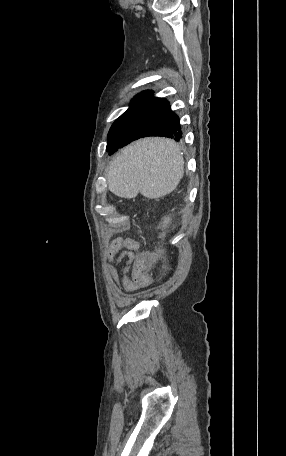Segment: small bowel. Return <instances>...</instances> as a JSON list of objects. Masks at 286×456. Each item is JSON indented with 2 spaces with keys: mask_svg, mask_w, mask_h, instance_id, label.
Instances as JSON below:
<instances>
[{
  "mask_svg": "<svg viewBox=\"0 0 286 456\" xmlns=\"http://www.w3.org/2000/svg\"><path fill=\"white\" fill-rule=\"evenodd\" d=\"M138 248V243L134 240L115 238L110 243L108 248V259L110 261L108 269L112 279L119 285L120 283L127 291H135L140 286L135 283L130 272V264L134 259V252ZM127 259V265L122 270V278L120 280L116 265Z\"/></svg>",
  "mask_w": 286,
  "mask_h": 456,
  "instance_id": "c3829d8e",
  "label": "small bowel"
}]
</instances>
